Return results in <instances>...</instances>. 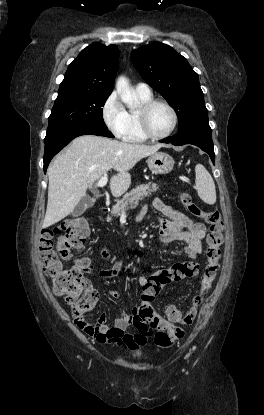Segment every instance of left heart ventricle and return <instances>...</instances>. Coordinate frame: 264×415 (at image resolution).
Returning <instances> with one entry per match:
<instances>
[{"mask_svg":"<svg viewBox=\"0 0 264 415\" xmlns=\"http://www.w3.org/2000/svg\"><path fill=\"white\" fill-rule=\"evenodd\" d=\"M173 122L171 112L163 105L155 106L148 115V124L151 132L155 135L166 133Z\"/></svg>","mask_w":264,"mask_h":415,"instance_id":"1","label":"left heart ventricle"}]
</instances>
